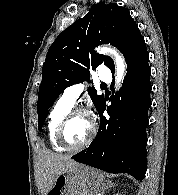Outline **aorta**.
I'll return each instance as SVG.
<instances>
[{
	"label": "aorta",
	"mask_w": 178,
	"mask_h": 195,
	"mask_svg": "<svg viewBox=\"0 0 178 195\" xmlns=\"http://www.w3.org/2000/svg\"><path fill=\"white\" fill-rule=\"evenodd\" d=\"M97 51L101 54H108L114 58L116 65V77L115 82L116 86L119 87L123 83L126 71V64L124 58L113 48L102 46L97 49Z\"/></svg>",
	"instance_id": "obj_1"
}]
</instances>
